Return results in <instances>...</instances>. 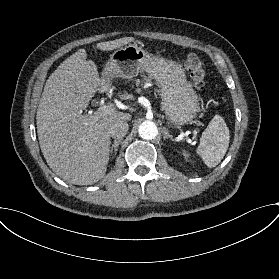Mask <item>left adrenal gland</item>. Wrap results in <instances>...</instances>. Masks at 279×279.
Segmentation results:
<instances>
[{"label": "left adrenal gland", "mask_w": 279, "mask_h": 279, "mask_svg": "<svg viewBox=\"0 0 279 279\" xmlns=\"http://www.w3.org/2000/svg\"><path fill=\"white\" fill-rule=\"evenodd\" d=\"M162 131H163V133H164L163 140L170 139V140H172V141H175V140L173 139L172 135H170V134L168 133V129H167V128L163 127Z\"/></svg>", "instance_id": "1"}]
</instances>
